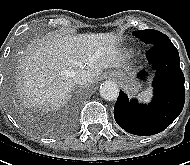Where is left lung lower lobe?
<instances>
[{
    "label": "left lung lower lobe",
    "mask_w": 190,
    "mask_h": 165,
    "mask_svg": "<svg viewBox=\"0 0 190 165\" xmlns=\"http://www.w3.org/2000/svg\"><path fill=\"white\" fill-rule=\"evenodd\" d=\"M146 57L155 71L153 100L148 105H141L137 100L129 101L120 90L114 107L117 124L125 131L139 136L154 135L165 130L181 113L185 102L180 58L170 39L151 46ZM145 76V71L138 74L142 79Z\"/></svg>",
    "instance_id": "1"
}]
</instances>
